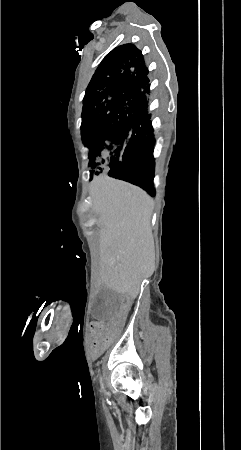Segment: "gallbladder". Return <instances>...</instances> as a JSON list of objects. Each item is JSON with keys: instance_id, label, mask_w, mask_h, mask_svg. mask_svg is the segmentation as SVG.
I'll return each instance as SVG.
<instances>
[{"instance_id": "1", "label": "gallbladder", "mask_w": 241, "mask_h": 450, "mask_svg": "<svg viewBox=\"0 0 241 450\" xmlns=\"http://www.w3.org/2000/svg\"><path fill=\"white\" fill-rule=\"evenodd\" d=\"M118 298L116 291H100L93 303L92 318L95 323H108L115 320L118 312Z\"/></svg>"}]
</instances>
